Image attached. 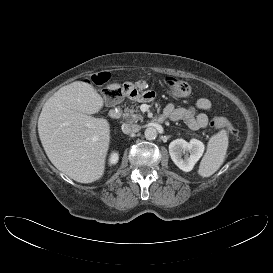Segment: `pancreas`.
I'll use <instances>...</instances> for the list:
<instances>
[{
    "label": "pancreas",
    "mask_w": 273,
    "mask_h": 273,
    "mask_svg": "<svg viewBox=\"0 0 273 273\" xmlns=\"http://www.w3.org/2000/svg\"><path fill=\"white\" fill-rule=\"evenodd\" d=\"M123 117L128 121V122H138L139 120H143V116L138 109V107L135 109L134 106L126 107L124 109Z\"/></svg>",
    "instance_id": "obj_1"
}]
</instances>
